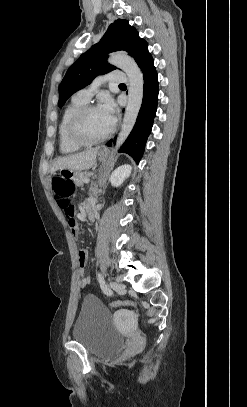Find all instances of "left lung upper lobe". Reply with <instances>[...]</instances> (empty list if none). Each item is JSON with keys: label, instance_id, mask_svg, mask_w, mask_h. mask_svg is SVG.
Returning <instances> with one entry per match:
<instances>
[{"label": "left lung upper lobe", "instance_id": "5c2ea615", "mask_svg": "<svg viewBox=\"0 0 247 407\" xmlns=\"http://www.w3.org/2000/svg\"><path fill=\"white\" fill-rule=\"evenodd\" d=\"M147 42L126 20L111 24L102 39L82 54L68 69L59 86V107L76 91L86 87L98 75L116 69L107 63L108 54L126 51L138 62L148 53Z\"/></svg>", "mask_w": 247, "mask_h": 407}]
</instances>
